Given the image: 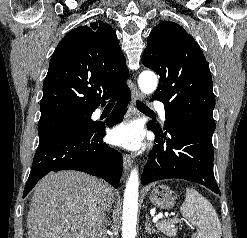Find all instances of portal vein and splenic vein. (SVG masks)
Returning <instances> with one entry per match:
<instances>
[{"mask_svg": "<svg viewBox=\"0 0 247 238\" xmlns=\"http://www.w3.org/2000/svg\"><path fill=\"white\" fill-rule=\"evenodd\" d=\"M155 223L157 224L158 223V220H156Z\"/></svg>", "mask_w": 247, "mask_h": 238, "instance_id": "obj_1", "label": "portal vein and splenic vein"}]
</instances>
